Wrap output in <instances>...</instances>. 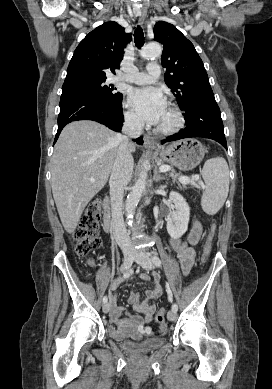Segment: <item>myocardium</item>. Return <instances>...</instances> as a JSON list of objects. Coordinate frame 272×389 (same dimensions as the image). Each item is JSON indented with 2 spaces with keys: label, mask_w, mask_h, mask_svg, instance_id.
<instances>
[{
  "label": "myocardium",
  "mask_w": 272,
  "mask_h": 389,
  "mask_svg": "<svg viewBox=\"0 0 272 389\" xmlns=\"http://www.w3.org/2000/svg\"><path fill=\"white\" fill-rule=\"evenodd\" d=\"M169 111L172 114V121L165 126H157L155 131L159 134L170 135L176 133L184 124V117L181 110L174 106H169Z\"/></svg>",
  "instance_id": "myocardium-1"
}]
</instances>
